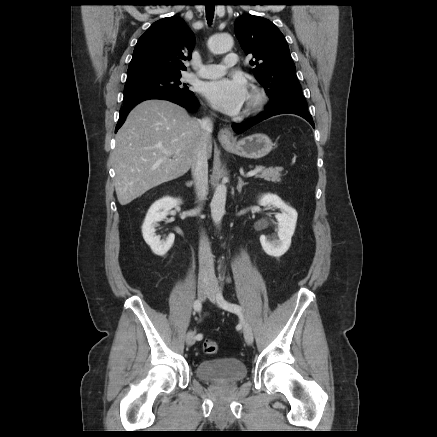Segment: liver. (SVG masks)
<instances>
[{
    "label": "liver",
    "mask_w": 437,
    "mask_h": 437,
    "mask_svg": "<svg viewBox=\"0 0 437 437\" xmlns=\"http://www.w3.org/2000/svg\"><path fill=\"white\" fill-rule=\"evenodd\" d=\"M199 120L177 104L147 100L128 114L112 158L115 190L124 206L148 190L188 172L200 142ZM212 140L207 146L208 158Z\"/></svg>",
    "instance_id": "liver-1"
}]
</instances>
